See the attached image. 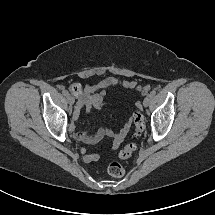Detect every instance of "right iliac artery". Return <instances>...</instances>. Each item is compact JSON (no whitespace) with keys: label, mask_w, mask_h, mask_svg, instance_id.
<instances>
[{"label":"right iliac artery","mask_w":215,"mask_h":215,"mask_svg":"<svg viewBox=\"0 0 215 215\" xmlns=\"http://www.w3.org/2000/svg\"><path fill=\"white\" fill-rule=\"evenodd\" d=\"M62 93H63V95H64L65 97H68V96H69V93H68V91H66V90H63Z\"/></svg>","instance_id":"82829eb1"}]
</instances>
